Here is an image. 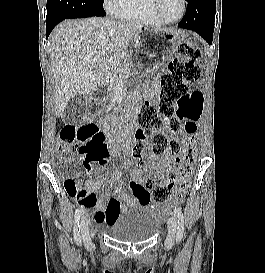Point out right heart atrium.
<instances>
[{"instance_id": "obj_1", "label": "right heart atrium", "mask_w": 265, "mask_h": 273, "mask_svg": "<svg viewBox=\"0 0 265 273\" xmlns=\"http://www.w3.org/2000/svg\"><path fill=\"white\" fill-rule=\"evenodd\" d=\"M125 0H104V8L105 10L114 16H117L119 10L123 6Z\"/></svg>"}]
</instances>
